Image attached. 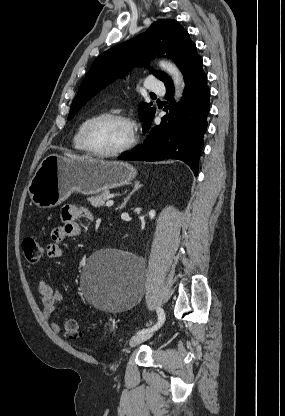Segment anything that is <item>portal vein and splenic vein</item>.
I'll list each match as a JSON object with an SVG mask.
<instances>
[{
    "label": "portal vein and splenic vein",
    "instance_id": "portal-vein-and-splenic-vein-1",
    "mask_svg": "<svg viewBox=\"0 0 285 416\" xmlns=\"http://www.w3.org/2000/svg\"><path fill=\"white\" fill-rule=\"evenodd\" d=\"M113 204V200H108V202H106V206H113Z\"/></svg>",
    "mask_w": 285,
    "mask_h": 416
}]
</instances>
